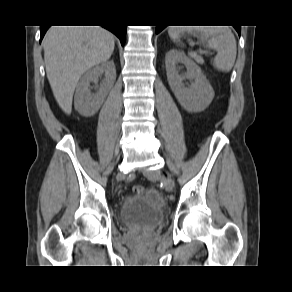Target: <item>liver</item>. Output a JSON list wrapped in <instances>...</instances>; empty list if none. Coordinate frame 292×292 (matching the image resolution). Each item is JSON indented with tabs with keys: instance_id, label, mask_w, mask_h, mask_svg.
Listing matches in <instances>:
<instances>
[{
	"instance_id": "obj_1",
	"label": "liver",
	"mask_w": 292,
	"mask_h": 292,
	"mask_svg": "<svg viewBox=\"0 0 292 292\" xmlns=\"http://www.w3.org/2000/svg\"><path fill=\"white\" fill-rule=\"evenodd\" d=\"M114 36L100 26H52L43 40L48 81L53 95L66 113L80 77L107 61L114 51Z\"/></svg>"
}]
</instances>
